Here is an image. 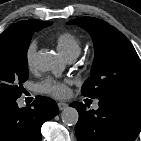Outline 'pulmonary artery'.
I'll return each instance as SVG.
<instances>
[{
    "label": "pulmonary artery",
    "mask_w": 141,
    "mask_h": 141,
    "mask_svg": "<svg viewBox=\"0 0 141 141\" xmlns=\"http://www.w3.org/2000/svg\"><path fill=\"white\" fill-rule=\"evenodd\" d=\"M69 63H72L75 59L74 58H70V59H66ZM94 108L97 109L98 108V104H94Z\"/></svg>",
    "instance_id": "e3ab8cb5"
}]
</instances>
